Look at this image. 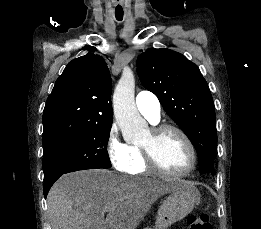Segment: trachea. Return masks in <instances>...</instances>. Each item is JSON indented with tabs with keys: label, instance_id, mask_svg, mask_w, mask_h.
I'll list each match as a JSON object with an SVG mask.
<instances>
[{
	"label": "trachea",
	"instance_id": "trachea-1",
	"mask_svg": "<svg viewBox=\"0 0 261 229\" xmlns=\"http://www.w3.org/2000/svg\"><path fill=\"white\" fill-rule=\"evenodd\" d=\"M117 18V20H122V17H116Z\"/></svg>",
	"mask_w": 261,
	"mask_h": 229
}]
</instances>
